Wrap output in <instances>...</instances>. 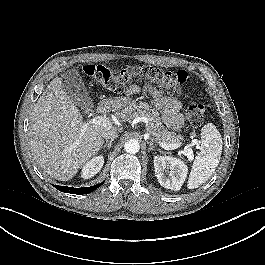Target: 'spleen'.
<instances>
[{
    "mask_svg": "<svg viewBox=\"0 0 265 265\" xmlns=\"http://www.w3.org/2000/svg\"><path fill=\"white\" fill-rule=\"evenodd\" d=\"M222 146L221 134L216 127L212 123L204 125L200 152L193 162L188 178L189 189L198 188L214 174L220 162Z\"/></svg>",
    "mask_w": 265,
    "mask_h": 265,
    "instance_id": "spleen-1",
    "label": "spleen"
}]
</instances>
